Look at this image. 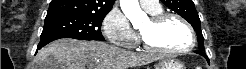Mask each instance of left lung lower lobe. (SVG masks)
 <instances>
[{"label": "left lung lower lobe", "instance_id": "obj_1", "mask_svg": "<svg viewBox=\"0 0 246 69\" xmlns=\"http://www.w3.org/2000/svg\"><path fill=\"white\" fill-rule=\"evenodd\" d=\"M195 53H198V54L202 55V56H203V57H205V58H206V60L209 62L208 57H207V56H206V54H205V53H203L202 51H195Z\"/></svg>", "mask_w": 246, "mask_h": 69}]
</instances>
